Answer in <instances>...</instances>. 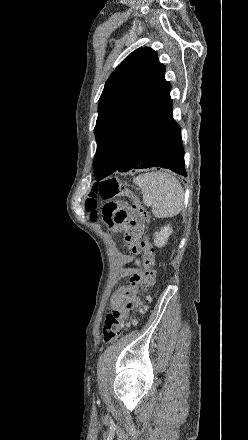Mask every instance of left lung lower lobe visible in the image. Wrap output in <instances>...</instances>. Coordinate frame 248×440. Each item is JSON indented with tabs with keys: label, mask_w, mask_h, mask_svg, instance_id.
Returning <instances> with one entry per match:
<instances>
[{
	"label": "left lung lower lobe",
	"mask_w": 248,
	"mask_h": 440,
	"mask_svg": "<svg viewBox=\"0 0 248 440\" xmlns=\"http://www.w3.org/2000/svg\"><path fill=\"white\" fill-rule=\"evenodd\" d=\"M150 167H163L187 176L181 129L174 121L173 115L137 142L115 171L127 172Z\"/></svg>",
	"instance_id": "1"
}]
</instances>
